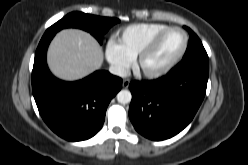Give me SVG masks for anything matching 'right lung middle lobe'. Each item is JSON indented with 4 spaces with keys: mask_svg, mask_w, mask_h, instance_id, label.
<instances>
[{
    "mask_svg": "<svg viewBox=\"0 0 248 165\" xmlns=\"http://www.w3.org/2000/svg\"><path fill=\"white\" fill-rule=\"evenodd\" d=\"M118 22H120V20L117 18L99 17L82 12H72L49 27L44 35L56 34L63 28L74 27L90 32L98 42L102 44L103 35L110 27Z\"/></svg>",
    "mask_w": 248,
    "mask_h": 165,
    "instance_id": "1",
    "label": "right lung middle lobe"
}]
</instances>
